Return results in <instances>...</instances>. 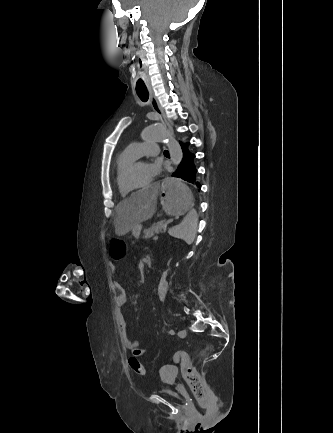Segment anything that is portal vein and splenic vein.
Instances as JSON below:
<instances>
[{"label": "portal vein and splenic vein", "instance_id": "obj_1", "mask_svg": "<svg viewBox=\"0 0 333 433\" xmlns=\"http://www.w3.org/2000/svg\"><path fill=\"white\" fill-rule=\"evenodd\" d=\"M162 230H163V232L166 231V225H164V226L162 227ZM154 240H158V237H154Z\"/></svg>", "mask_w": 333, "mask_h": 433}]
</instances>
